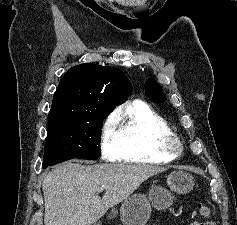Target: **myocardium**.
Instances as JSON below:
<instances>
[{
    "mask_svg": "<svg viewBox=\"0 0 237 225\" xmlns=\"http://www.w3.org/2000/svg\"><path fill=\"white\" fill-rule=\"evenodd\" d=\"M161 148L164 152L176 156L183 151V142L178 135L172 133L162 138Z\"/></svg>",
    "mask_w": 237,
    "mask_h": 225,
    "instance_id": "myocardium-1",
    "label": "myocardium"
}]
</instances>
